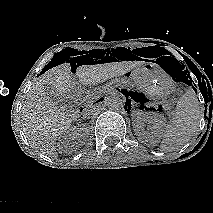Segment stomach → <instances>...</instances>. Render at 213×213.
<instances>
[{
    "label": "stomach",
    "instance_id": "obj_1",
    "mask_svg": "<svg viewBox=\"0 0 213 213\" xmlns=\"http://www.w3.org/2000/svg\"><path fill=\"white\" fill-rule=\"evenodd\" d=\"M125 76L153 99L167 100L174 92L171 78L165 76L160 66L156 63H143L125 73Z\"/></svg>",
    "mask_w": 213,
    "mask_h": 213
}]
</instances>
